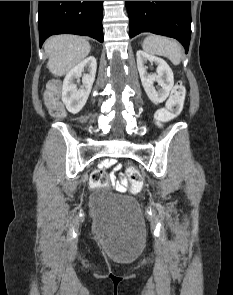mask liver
I'll use <instances>...</instances> for the list:
<instances>
[{"label":"liver","instance_id":"liver-1","mask_svg":"<svg viewBox=\"0 0 233 295\" xmlns=\"http://www.w3.org/2000/svg\"><path fill=\"white\" fill-rule=\"evenodd\" d=\"M44 48L49 57L47 67L54 76L68 73L88 56L91 50L85 38L68 34L50 37Z\"/></svg>","mask_w":233,"mask_h":295}]
</instances>
